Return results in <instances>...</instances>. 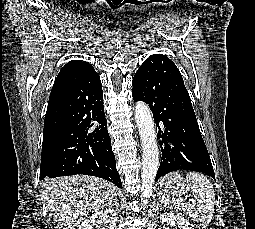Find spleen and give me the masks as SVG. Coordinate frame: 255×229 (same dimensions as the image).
Here are the masks:
<instances>
[{
  "instance_id": "spleen-1",
  "label": "spleen",
  "mask_w": 255,
  "mask_h": 229,
  "mask_svg": "<svg viewBox=\"0 0 255 229\" xmlns=\"http://www.w3.org/2000/svg\"><path fill=\"white\" fill-rule=\"evenodd\" d=\"M186 180L192 184L191 189L197 198V203H184L182 199H169L165 194L166 200L179 210L188 212L196 221L210 222L214 213V188L208 178L197 172H188Z\"/></svg>"
}]
</instances>
